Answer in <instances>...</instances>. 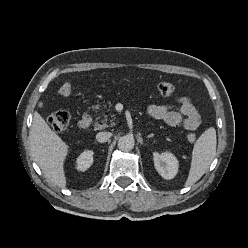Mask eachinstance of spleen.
I'll use <instances>...</instances> for the list:
<instances>
[{
    "label": "spleen",
    "instance_id": "3e777b00",
    "mask_svg": "<svg viewBox=\"0 0 248 248\" xmlns=\"http://www.w3.org/2000/svg\"><path fill=\"white\" fill-rule=\"evenodd\" d=\"M216 130L208 128L195 142L191 167L185 186H192L207 171L216 154Z\"/></svg>",
    "mask_w": 248,
    "mask_h": 248
}]
</instances>
